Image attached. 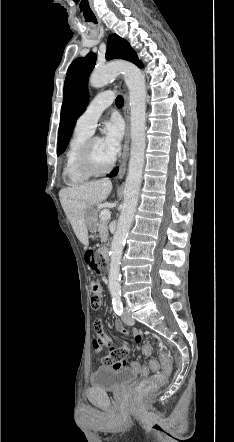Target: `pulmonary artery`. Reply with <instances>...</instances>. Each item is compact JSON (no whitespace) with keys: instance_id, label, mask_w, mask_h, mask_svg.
Masks as SVG:
<instances>
[{"instance_id":"obj_1","label":"pulmonary artery","mask_w":234,"mask_h":442,"mask_svg":"<svg viewBox=\"0 0 234 442\" xmlns=\"http://www.w3.org/2000/svg\"><path fill=\"white\" fill-rule=\"evenodd\" d=\"M111 92H102L94 97L84 112L78 117L75 129L92 134L102 112L112 104Z\"/></svg>"}]
</instances>
